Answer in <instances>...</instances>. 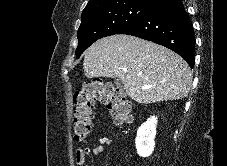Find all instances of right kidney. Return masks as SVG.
Masks as SVG:
<instances>
[{
  "mask_svg": "<svg viewBox=\"0 0 227 166\" xmlns=\"http://www.w3.org/2000/svg\"><path fill=\"white\" fill-rule=\"evenodd\" d=\"M157 117H150L137 130L135 139L137 153L142 157L150 156L155 147Z\"/></svg>",
  "mask_w": 227,
  "mask_h": 166,
  "instance_id": "right-kidney-1",
  "label": "right kidney"
}]
</instances>
